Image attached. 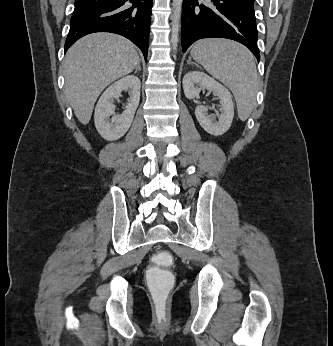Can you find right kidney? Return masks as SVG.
<instances>
[{
    "instance_id": "ca27d5eb",
    "label": "right kidney",
    "mask_w": 333,
    "mask_h": 346,
    "mask_svg": "<svg viewBox=\"0 0 333 346\" xmlns=\"http://www.w3.org/2000/svg\"><path fill=\"white\" fill-rule=\"evenodd\" d=\"M140 79L134 75L125 76L101 95L95 108L94 122L99 134L108 141L122 137L132 124L135 111L140 101ZM123 90L128 91L130 100L125 111L120 115H114V99L121 96ZM112 116L111 120L109 117Z\"/></svg>"
}]
</instances>
